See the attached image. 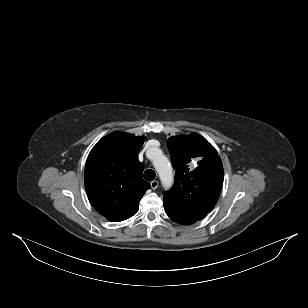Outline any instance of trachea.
<instances>
[{"instance_id":"obj_1","label":"trachea","mask_w":308,"mask_h":308,"mask_svg":"<svg viewBox=\"0 0 308 308\" xmlns=\"http://www.w3.org/2000/svg\"><path fill=\"white\" fill-rule=\"evenodd\" d=\"M156 176V173L151 170V169H148L144 172V178L147 180V181H152Z\"/></svg>"}]
</instances>
